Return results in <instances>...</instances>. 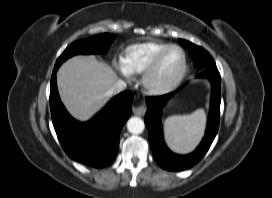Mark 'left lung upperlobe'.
I'll use <instances>...</instances> for the list:
<instances>
[{
	"instance_id": "left-lung-upper-lobe-1",
	"label": "left lung upper lobe",
	"mask_w": 272,
	"mask_h": 198,
	"mask_svg": "<svg viewBox=\"0 0 272 198\" xmlns=\"http://www.w3.org/2000/svg\"><path fill=\"white\" fill-rule=\"evenodd\" d=\"M179 43L188 49L190 56L194 59L196 67L216 68L212 56L202 47L196 46L186 40L179 39Z\"/></svg>"
}]
</instances>
